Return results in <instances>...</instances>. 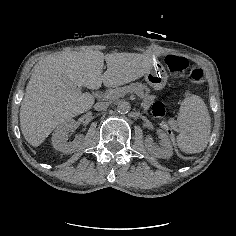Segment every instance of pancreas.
Wrapping results in <instances>:
<instances>
[{
	"mask_svg": "<svg viewBox=\"0 0 236 236\" xmlns=\"http://www.w3.org/2000/svg\"><path fill=\"white\" fill-rule=\"evenodd\" d=\"M129 91L134 92L137 97H141L144 102H147L150 99L149 93L151 92V89L143 81L131 83L129 86L124 85L121 89L115 88L106 90L104 93L100 94V99H118L123 96V93L127 94Z\"/></svg>",
	"mask_w": 236,
	"mask_h": 236,
	"instance_id": "cf45deb5",
	"label": "pancreas"
}]
</instances>
